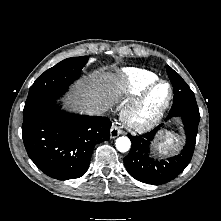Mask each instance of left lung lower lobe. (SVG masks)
<instances>
[{"label":"left lung lower lobe","mask_w":221,"mask_h":221,"mask_svg":"<svg viewBox=\"0 0 221 221\" xmlns=\"http://www.w3.org/2000/svg\"><path fill=\"white\" fill-rule=\"evenodd\" d=\"M174 102L168 118L179 116L182 119L186 134V143L177 156L167 160H155L150 157V145L160 126L143 135L128 134L132 147L124 158L129 174L138 181L147 184L161 185L178 176L191 161L200 117L194 116L198 106L194 93L185 82H173Z\"/></svg>","instance_id":"0a47b994"}]
</instances>
